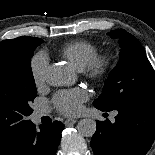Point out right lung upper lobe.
Returning <instances> with one entry per match:
<instances>
[{"label": "right lung upper lobe", "instance_id": "obj_1", "mask_svg": "<svg viewBox=\"0 0 155 155\" xmlns=\"http://www.w3.org/2000/svg\"><path fill=\"white\" fill-rule=\"evenodd\" d=\"M35 39H36L35 37L23 36V37H18V38L12 39V40H4V41L0 42V44L3 45V44H8V43H14V42L33 41Z\"/></svg>", "mask_w": 155, "mask_h": 155}]
</instances>
